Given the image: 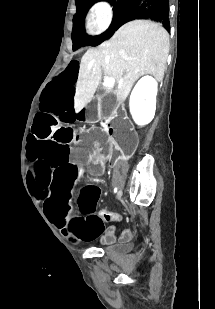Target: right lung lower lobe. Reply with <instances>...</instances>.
<instances>
[{
	"label": "right lung lower lobe",
	"mask_w": 215,
	"mask_h": 309,
	"mask_svg": "<svg viewBox=\"0 0 215 309\" xmlns=\"http://www.w3.org/2000/svg\"><path fill=\"white\" fill-rule=\"evenodd\" d=\"M169 0H133L121 14L117 29L134 19H150L170 30Z\"/></svg>",
	"instance_id": "1"
}]
</instances>
